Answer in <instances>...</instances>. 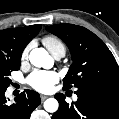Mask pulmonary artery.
I'll list each match as a JSON object with an SVG mask.
<instances>
[{
	"mask_svg": "<svg viewBox=\"0 0 119 119\" xmlns=\"http://www.w3.org/2000/svg\"><path fill=\"white\" fill-rule=\"evenodd\" d=\"M64 55H65V52L62 51V50H59V51H57V52H55V53L53 54V57H54L56 60H60L62 57H64ZM74 99L76 100V96L74 97Z\"/></svg>",
	"mask_w": 119,
	"mask_h": 119,
	"instance_id": "1",
	"label": "pulmonary artery"
}]
</instances>
